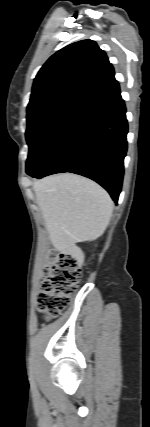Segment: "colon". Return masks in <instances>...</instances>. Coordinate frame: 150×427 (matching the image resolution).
Segmentation results:
<instances>
[{
	"label": "colon",
	"instance_id": "5ec220e1",
	"mask_svg": "<svg viewBox=\"0 0 150 427\" xmlns=\"http://www.w3.org/2000/svg\"><path fill=\"white\" fill-rule=\"evenodd\" d=\"M78 260L71 254L54 253L42 280L38 310L48 319L57 317L68 306L81 280Z\"/></svg>",
	"mask_w": 150,
	"mask_h": 427
}]
</instances>
